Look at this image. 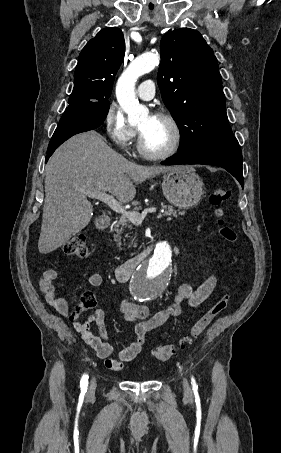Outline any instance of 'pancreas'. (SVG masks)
Returning a JSON list of instances; mask_svg holds the SVG:
<instances>
[{
	"label": "pancreas",
	"instance_id": "pancreas-1",
	"mask_svg": "<svg viewBox=\"0 0 281 453\" xmlns=\"http://www.w3.org/2000/svg\"><path fill=\"white\" fill-rule=\"evenodd\" d=\"M162 208H164L163 216H167V220H171V216H177V210H174V208H172V206H169V204H162ZM133 210H140V206H135ZM128 222H130L128 218H123V216L119 218L118 222H116L115 224L114 229V231H116L117 233L116 237H119V235L123 233L124 229H132V224H128ZM131 245H133V247H136V243H134V241H131Z\"/></svg>",
	"mask_w": 281,
	"mask_h": 453
}]
</instances>
